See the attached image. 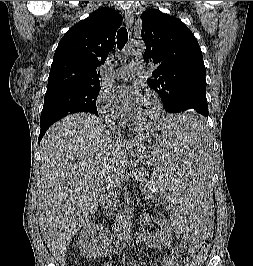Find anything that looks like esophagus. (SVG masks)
<instances>
[{
	"mask_svg": "<svg viewBox=\"0 0 253 266\" xmlns=\"http://www.w3.org/2000/svg\"><path fill=\"white\" fill-rule=\"evenodd\" d=\"M133 22H134V17L131 11L125 12V23L130 30L132 29Z\"/></svg>",
	"mask_w": 253,
	"mask_h": 266,
	"instance_id": "obj_1",
	"label": "esophagus"
}]
</instances>
